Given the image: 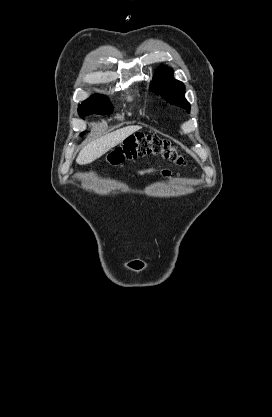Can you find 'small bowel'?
Segmentation results:
<instances>
[{
	"instance_id": "c3829d8e",
	"label": "small bowel",
	"mask_w": 272,
	"mask_h": 417,
	"mask_svg": "<svg viewBox=\"0 0 272 417\" xmlns=\"http://www.w3.org/2000/svg\"><path fill=\"white\" fill-rule=\"evenodd\" d=\"M155 172H156V168L151 167V168H147V169L137 170V171L135 172V175H136L137 177H144V176H147V175L153 174V173H155ZM162 174H163V177H164V178H168V177H170L171 172H170L169 170H164V171H162Z\"/></svg>"
}]
</instances>
